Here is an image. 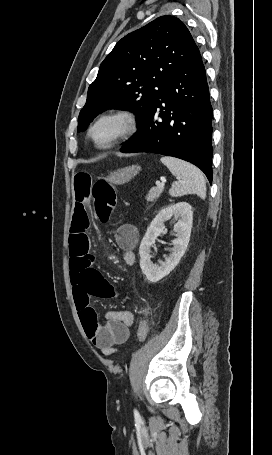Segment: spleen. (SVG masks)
Wrapping results in <instances>:
<instances>
[{
    "instance_id": "obj_1",
    "label": "spleen",
    "mask_w": 272,
    "mask_h": 455,
    "mask_svg": "<svg viewBox=\"0 0 272 455\" xmlns=\"http://www.w3.org/2000/svg\"><path fill=\"white\" fill-rule=\"evenodd\" d=\"M161 162L176 176L169 194L180 197L187 194H196L201 199L206 198V181L201 171L194 165L174 157H162Z\"/></svg>"
}]
</instances>
